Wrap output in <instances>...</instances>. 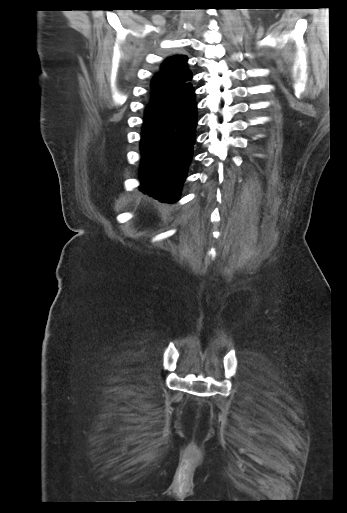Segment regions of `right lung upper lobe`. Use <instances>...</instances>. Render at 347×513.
Here are the masks:
<instances>
[{
  "instance_id": "right-lung-upper-lobe-1",
  "label": "right lung upper lobe",
  "mask_w": 347,
  "mask_h": 513,
  "mask_svg": "<svg viewBox=\"0 0 347 513\" xmlns=\"http://www.w3.org/2000/svg\"><path fill=\"white\" fill-rule=\"evenodd\" d=\"M186 56H173L165 59L151 83L152 96L165 97L184 86L192 78V73L187 68Z\"/></svg>"
}]
</instances>
